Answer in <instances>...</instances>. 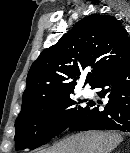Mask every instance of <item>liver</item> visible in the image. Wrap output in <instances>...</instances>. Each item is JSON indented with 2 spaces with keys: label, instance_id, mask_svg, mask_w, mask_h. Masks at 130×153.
I'll return each mask as SVG.
<instances>
[{
  "label": "liver",
  "instance_id": "6515ba94",
  "mask_svg": "<svg viewBox=\"0 0 130 153\" xmlns=\"http://www.w3.org/2000/svg\"><path fill=\"white\" fill-rule=\"evenodd\" d=\"M122 140L114 131H87L66 137L40 153H111Z\"/></svg>",
  "mask_w": 130,
  "mask_h": 153
}]
</instances>
